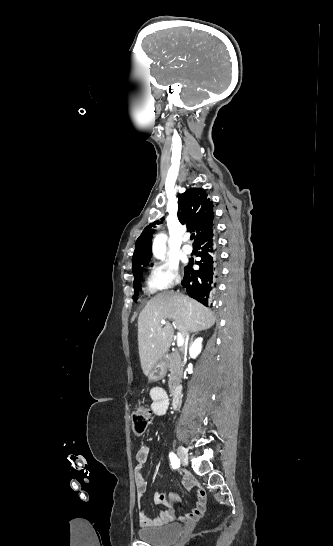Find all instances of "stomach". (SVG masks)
<instances>
[{"label": "stomach", "instance_id": "1", "mask_svg": "<svg viewBox=\"0 0 333 546\" xmlns=\"http://www.w3.org/2000/svg\"><path fill=\"white\" fill-rule=\"evenodd\" d=\"M167 373L166 359L163 356L151 369L148 378L150 381H157L165 377Z\"/></svg>", "mask_w": 333, "mask_h": 546}]
</instances>
